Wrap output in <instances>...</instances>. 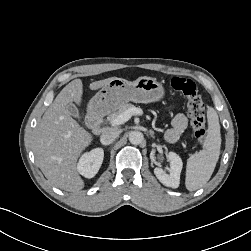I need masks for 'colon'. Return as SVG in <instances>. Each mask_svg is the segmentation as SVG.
Here are the masks:
<instances>
[{
    "label": "colon",
    "instance_id": "obj_1",
    "mask_svg": "<svg viewBox=\"0 0 251 251\" xmlns=\"http://www.w3.org/2000/svg\"><path fill=\"white\" fill-rule=\"evenodd\" d=\"M170 85L174 91L185 97L195 137L200 143H203L207 136L205 105L198 93L195 82L182 77H173Z\"/></svg>",
    "mask_w": 251,
    "mask_h": 251
}]
</instances>
